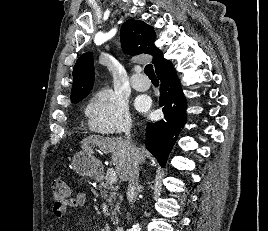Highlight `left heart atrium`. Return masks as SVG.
I'll use <instances>...</instances> for the list:
<instances>
[{
	"label": "left heart atrium",
	"mask_w": 268,
	"mask_h": 231,
	"mask_svg": "<svg viewBox=\"0 0 268 231\" xmlns=\"http://www.w3.org/2000/svg\"><path fill=\"white\" fill-rule=\"evenodd\" d=\"M137 106H138L139 109H142V110H144V109L147 108L146 104L143 103V102H141V101H139V102L137 103Z\"/></svg>",
	"instance_id": "left-heart-atrium-1"
}]
</instances>
